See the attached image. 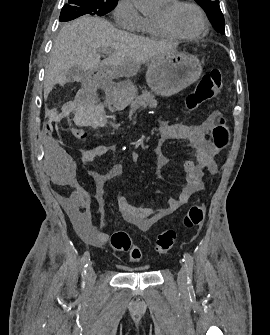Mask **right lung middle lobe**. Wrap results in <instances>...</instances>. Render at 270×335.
I'll use <instances>...</instances> for the list:
<instances>
[{
	"mask_svg": "<svg viewBox=\"0 0 270 335\" xmlns=\"http://www.w3.org/2000/svg\"><path fill=\"white\" fill-rule=\"evenodd\" d=\"M118 0H68L60 13V21L66 22L82 15L103 16L110 12Z\"/></svg>",
	"mask_w": 270,
	"mask_h": 335,
	"instance_id": "dd1d6c3e",
	"label": "right lung middle lobe"
}]
</instances>
